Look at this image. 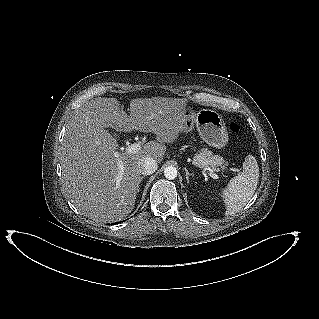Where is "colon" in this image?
Returning a JSON list of instances; mask_svg holds the SVG:
<instances>
[{
  "label": "colon",
  "instance_id": "1",
  "mask_svg": "<svg viewBox=\"0 0 319 319\" xmlns=\"http://www.w3.org/2000/svg\"><path fill=\"white\" fill-rule=\"evenodd\" d=\"M229 128L233 133H237L240 130V127L237 123H231Z\"/></svg>",
  "mask_w": 319,
  "mask_h": 319
}]
</instances>
